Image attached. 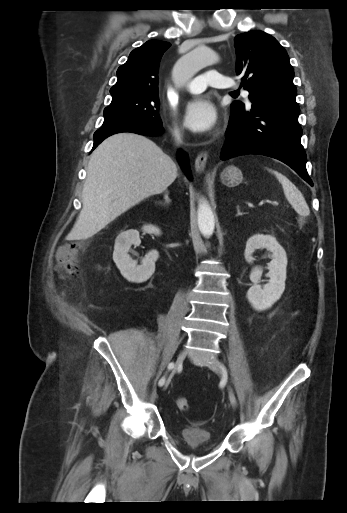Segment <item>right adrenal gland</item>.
<instances>
[{"label": "right adrenal gland", "instance_id": "right-adrenal-gland-1", "mask_svg": "<svg viewBox=\"0 0 347 513\" xmlns=\"http://www.w3.org/2000/svg\"><path fill=\"white\" fill-rule=\"evenodd\" d=\"M171 200L169 198V191H164V200L161 202H158V204H161V206H168L170 204Z\"/></svg>", "mask_w": 347, "mask_h": 513}]
</instances>
